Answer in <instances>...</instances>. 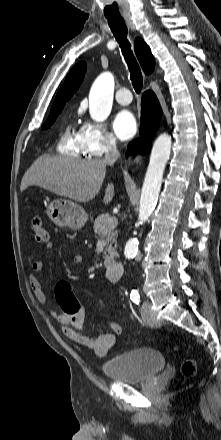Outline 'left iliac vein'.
<instances>
[{
	"label": "left iliac vein",
	"instance_id": "obj_1",
	"mask_svg": "<svg viewBox=\"0 0 221 440\" xmlns=\"http://www.w3.org/2000/svg\"><path fill=\"white\" fill-rule=\"evenodd\" d=\"M141 316L143 321L150 326L158 327L160 325V321L153 317L151 313V304L148 301H145L142 304Z\"/></svg>",
	"mask_w": 221,
	"mask_h": 440
}]
</instances>
